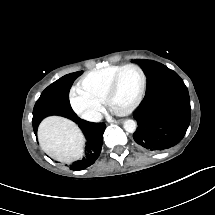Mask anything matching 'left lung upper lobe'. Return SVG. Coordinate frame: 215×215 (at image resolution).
Returning a JSON list of instances; mask_svg holds the SVG:
<instances>
[{
  "instance_id": "5c2ea615",
  "label": "left lung upper lobe",
  "mask_w": 215,
  "mask_h": 215,
  "mask_svg": "<svg viewBox=\"0 0 215 215\" xmlns=\"http://www.w3.org/2000/svg\"><path fill=\"white\" fill-rule=\"evenodd\" d=\"M147 77L146 95L134 112L135 142L143 149L161 151L177 145L191 119L190 98L182 79L166 66L136 60Z\"/></svg>"
}]
</instances>
